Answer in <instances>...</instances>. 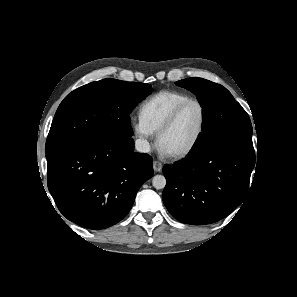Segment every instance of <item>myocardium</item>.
Returning a JSON list of instances; mask_svg holds the SVG:
<instances>
[{
    "mask_svg": "<svg viewBox=\"0 0 297 297\" xmlns=\"http://www.w3.org/2000/svg\"><path fill=\"white\" fill-rule=\"evenodd\" d=\"M190 103H196L200 108V111H201L200 126L194 139L186 148L175 153H167L168 156L174 159H181L189 155L196 148L199 141L201 140L207 124V112H206L205 106L197 98L190 97L184 100L174 108V110L171 112V114L168 116V118L164 121V123L160 126V128L156 132V142H157V145L161 148L160 146L161 138L168 130L172 128V126L177 121L182 110Z\"/></svg>",
    "mask_w": 297,
    "mask_h": 297,
    "instance_id": "obj_1",
    "label": "myocardium"
}]
</instances>
